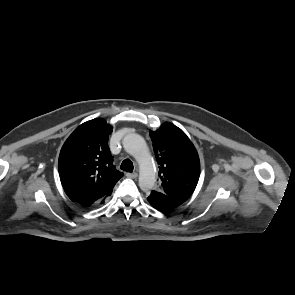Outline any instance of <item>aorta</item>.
<instances>
[{
    "instance_id": "obj_1",
    "label": "aorta",
    "mask_w": 295,
    "mask_h": 295,
    "mask_svg": "<svg viewBox=\"0 0 295 295\" xmlns=\"http://www.w3.org/2000/svg\"><path fill=\"white\" fill-rule=\"evenodd\" d=\"M123 147L133 156L140 166L139 187L143 191L154 188L156 176L152 165V158L147 144L142 136L136 133L127 134L123 139Z\"/></svg>"
}]
</instances>
